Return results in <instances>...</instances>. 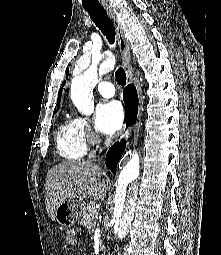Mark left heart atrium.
Returning a JSON list of instances; mask_svg holds the SVG:
<instances>
[{
  "label": "left heart atrium",
  "instance_id": "1",
  "mask_svg": "<svg viewBox=\"0 0 221 255\" xmlns=\"http://www.w3.org/2000/svg\"><path fill=\"white\" fill-rule=\"evenodd\" d=\"M124 119L123 109L116 101L100 104L95 114L96 130L102 134H114L122 125Z\"/></svg>",
  "mask_w": 221,
  "mask_h": 255
}]
</instances>
